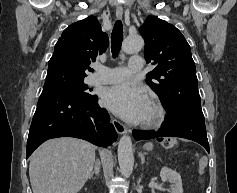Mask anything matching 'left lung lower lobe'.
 <instances>
[{
  "label": "left lung lower lobe",
  "instance_id": "obj_1",
  "mask_svg": "<svg viewBox=\"0 0 237 193\" xmlns=\"http://www.w3.org/2000/svg\"><path fill=\"white\" fill-rule=\"evenodd\" d=\"M136 140L161 137H181L201 144L209 152L204 115L201 109H190L176 116L168 115L163 126L158 131H133Z\"/></svg>",
  "mask_w": 237,
  "mask_h": 193
}]
</instances>
